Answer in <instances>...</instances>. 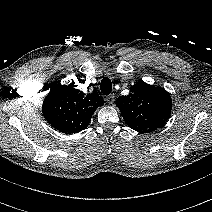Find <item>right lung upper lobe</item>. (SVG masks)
Masks as SVG:
<instances>
[{
  "mask_svg": "<svg viewBox=\"0 0 212 212\" xmlns=\"http://www.w3.org/2000/svg\"><path fill=\"white\" fill-rule=\"evenodd\" d=\"M73 84L52 86L42 107L47 122L65 134H75L87 128L96 108L104 104L97 93L86 95Z\"/></svg>",
  "mask_w": 212,
  "mask_h": 212,
  "instance_id": "cb5924a9",
  "label": "right lung upper lobe"
}]
</instances>
